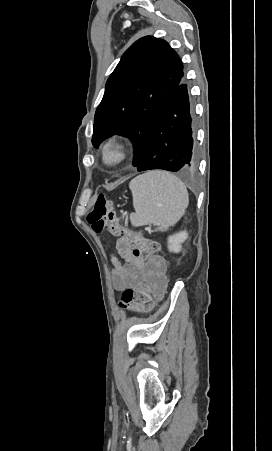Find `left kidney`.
Returning <instances> with one entry per match:
<instances>
[{
  "label": "left kidney",
  "instance_id": "obj_1",
  "mask_svg": "<svg viewBox=\"0 0 272 451\" xmlns=\"http://www.w3.org/2000/svg\"><path fill=\"white\" fill-rule=\"evenodd\" d=\"M188 233L187 231H178V233H174V235H169L168 237V249L169 251H174V253H178L181 251V243L187 239Z\"/></svg>",
  "mask_w": 272,
  "mask_h": 451
}]
</instances>
